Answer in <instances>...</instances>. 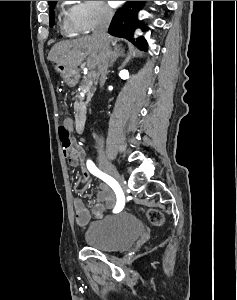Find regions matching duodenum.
Returning <instances> with one entry per match:
<instances>
[{
	"label": "duodenum",
	"mask_w": 237,
	"mask_h": 300,
	"mask_svg": "<svg viewBox=\"0 0 237 300\" xmlns=\"http://www.w3.org/2000/svg\"><path fill=\"white\" fill-rule=\"evenodd\" d=\"M87 123V113L84 109H79L75 116V128L78 133H84Z\"/></svg>",
	"instance_id": "obj_1"
}]
</instances>
